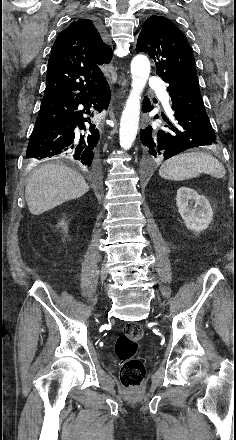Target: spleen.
<instances>
[{
  "mask_svg": "<svg viewBox=\"0 0 236 440\" xmlns=\"http://www.w3.org/2000/svg\"><path fill=\"white\" fill-rule=\"evenodd\" d=\"M200 173L222 178L225 176L226 171L222 163L211 154L193 151L168 159L159 169V175L162 178L172 181L195 178Z\"/></svg>",
  "mask_w": 236,
  "mask_h": 440,
  "instance_id": "3e777b00",
  "label": "spleen"
}]
</instances>
